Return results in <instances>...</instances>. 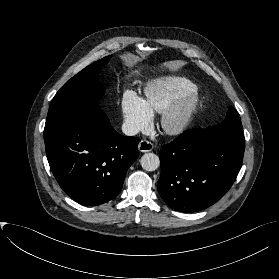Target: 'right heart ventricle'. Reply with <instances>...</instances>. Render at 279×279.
<instances>
[{"label":"right heart ventricle","instance_id":"right-heart-ventricle-1","mask_svg":"<svg viewBox=\"0 0 279 279\" xmlns=\"http://www.w3.org/2000/svg\"><path fill=\"white\" fill-rule=\"evenodd\" d=\"M196 89V84L186 77L162 76L145 86V103L150 112L162 113L181 97Z\"/></svg>","mask_w":279,"mask_h":279}]
</instances>
